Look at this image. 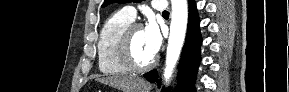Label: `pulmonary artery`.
<instances>
[{
	"label": "pulmonary artery",
	"instance_id": "1",
	"mask_svg": "<svg viewBox=\"0 0 289 92\" xmlns=\"http://www.w3.org/2000/svg\"><path fill=\"white\" fill-rule=\"evenodd\" d=\"M152 7L160 12H164L167 9L166 2L162 0L153 1ZM121 12L132 21L136 18L137 12L133 6H126L121 10Z\"/></svg>",
	"mask_w": 289,
	"mask_h": 92
}]
</instances>
